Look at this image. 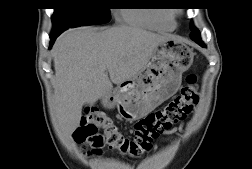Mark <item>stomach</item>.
<instances>
[{
	"label": "stomach",
	"mask_w": 252,
	"mask_h": 169,
	"mask_svg": "<svg viewBox=\"0 0 252 169\" xmlns=\"http://www.w3.org/2000/svg\"><path fill=\"white\" fill-rule=\"evenodd\" d=\"M193 51L183 42L170 38L155 49L146 66L132 79L120 83L102 97L104 107L117 108L128 121L139 120L173 96L182 74L192 65Z\"/></svg>",
	"instance_id": "0dacf381"
}]
</instances>
